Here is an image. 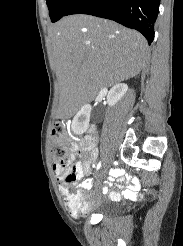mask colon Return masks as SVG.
Returning <instances> with one entry per match:
<instances>
[{"mask_svg":"<svg viewBox=\"0 0 183 246\" xmlns=\"http://www.w3.org/2000/svg\"><path fill=\"white\" fill-rule=\"evenodd\" d=\"M65 129L60 123L55 124L52 129L51 135V156L56 164L65 166L68 164V146L64 141ZM69 184H73L75 178H66ZM72 208L77 211L86 212L88 205L83 201L81 197H76L72 202Z\"/></svg>","mask_w":183,"mask_h":246,"instance_id":"5ec220e1","label":"colon"}]
</instances>
